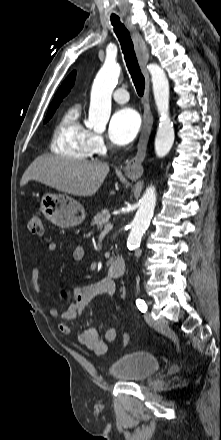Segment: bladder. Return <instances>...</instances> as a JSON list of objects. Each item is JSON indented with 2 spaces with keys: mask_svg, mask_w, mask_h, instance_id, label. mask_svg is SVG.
Wrapping results in <instances>:
<instances>
[{
  "mask_svg": "<svg viewBox=\"0 0 221 440\" xmlns=\"http://www.w3.org/2000/svg\"><path fill=\"white\" fill-rule=\"evenodd\" d=\"M157 357L146 351H133L120 356L108 368L110 376L122 382H142L159 368Z\"/></svg>",
  "mask_w": 221,
  "mask_h": 440,
  "instance_id": "bladder-1",
  "label": "bladder"
}]
</instances>
